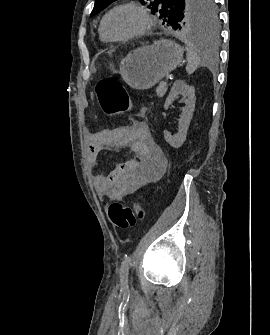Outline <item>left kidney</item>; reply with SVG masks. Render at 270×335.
Segmentation results:
<instances>
[{"instance_id":"left-kidney-1","label":"left kidney","mask_w":270,"mask_h":335,"mask_svg":"<svg viewBox=\"0 0 270 335\" xmlns=\"http://www.w3.org/2000/svg\"><path fill=\"white\" fill-rule=\"evenodd\" d=\"M179 94H182V96H188V98L185 100V108H182L178 134L171 136L170 132H166V130H164V138L166 142L172 146V148H181L182 144H184L187 136V130L195 110V90L193 86H187L184 80H176V82H174L173 88H171V92L168 98H166L164 110H167V108L171 106L172 102H174L176 96H179Z\"/></svg>"}]
</instances>
